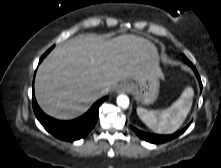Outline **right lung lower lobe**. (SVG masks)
I'll use <instances>...</instances> for the list:
<instances>
[{
  "label": "right lung lower lobe",
  "instance_id": "1",
  "mask_svg": "<svg viewBox=\"0 0 221 168\" xmlns=\"http://www.w3.org/2000/svg\"><path fill=\"white\" fill-rule=\"evenodd\" d=\"M51 49L52 48H50L41 57L40 62L51 51ZM106 99L107 97L98 100L83 116L70 121L56 120L46 115L40 109V107L36 102L34 96V87H33L32 104L37 119L40 121V123L49 133H51L53 136H55L58 139L72 142L84 138L93 129L98 119L99 107Z\"/></svg>",
  "mask_w": 221,
  "mask_h": 168
}]
</instances>
